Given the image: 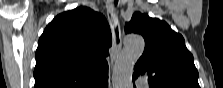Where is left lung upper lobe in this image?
<instances>
[{
  "mask_svg": "<svg viewBox=\"0 0 223 88\" xmlns=\"http://www.w3.org/2000/svg\"><path fill=\"white\" fill-rule=\"evenodd\" d=\"M125 32L141 34L145 40L133 80L147 75L149 88H200L199 74L184 38L165 21L136 12L126 24Z\"/></svg>",
  "mask_w": 223,
  "mask_h": 88,
  "instance_id": "1",
  "label": "left lung upper lobe"
}]
</instances>
